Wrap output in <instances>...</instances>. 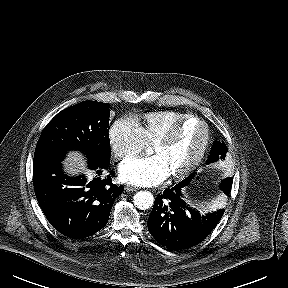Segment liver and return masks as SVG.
I'll use <instances>...</instances> for the list:
<instances>
[{"label": "liver", "mask_w": 288, "mask_h": 288, "mask_svg": "<svg viewBox=\"0 0 288 288\" xmlns=\"http://www.w3.org/2000/svg\"><path fill=\"white\" fill-rule=\"evenodd\" d=\"M65 171L68 174H78L79 172L85 173L88 177H92L93 173L85 168V162L80 153H69L68 158L63 162Z\"/></svg>", "instance_id": "liver-1"}]
</instances>
